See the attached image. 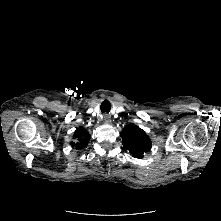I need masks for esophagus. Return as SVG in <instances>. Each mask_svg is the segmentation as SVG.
Returning a JSON list of instances; mask_svg holds the SVG:
<instances>
[{
  "instance_id": "34e87169",
  "label": "esophagus",
  "mask_w": 221,
  "mask_h": 221,
  "mask_svg": "<svg viewBox=\"0 0 221 221\" xmlns=\"http://www.w3.org/2000/svg\"><path fill=\"white\" fill-rule=\"evenodd\" d=\"M102 118L104 123H109L111 117L109 114H104Z\"/></svg>"
}]
</instances>
